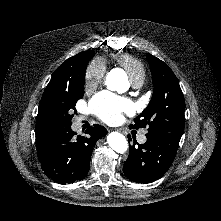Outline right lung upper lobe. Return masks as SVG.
<instances>
[{"label": "right lung upper lobe", "mask_w": 221, "mask_h": 221, "mask_svg": "<svg viewBox=\"0 0 221 221\" xmlns=\"http://www.w3.org/2000/svg\"><path fill=\"white\" fill-rule=\"evenodd\" d=\"M94 54V51H85L64 61L52 76L44 92L46 93L50 88L56 85L74 81L84 71L85 67H87L89 59L92 58ZM45 93H43V96ZM35 131L37 152L40 160L44 157L50 139L55 132L50 130L45 121L38 115L36 118Z\"/></svg>", "instance_id": "cb5924a9"}]
</instances>
